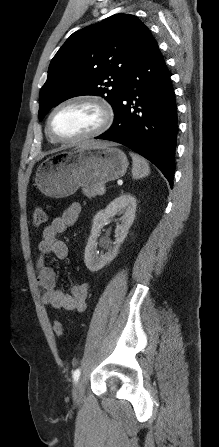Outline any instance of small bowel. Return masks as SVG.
Wrapping results in <instances>:
<instances>
[{
    "mask_svg": "<svg viewBox=\"0 0 219 447\" xmlns=\"http://www.w3.org/2000/svg\"><path fill=\"white\" fill-rule=\"evenodd\" d=\"M81 211V205L71 203L59 216L42 231V239L38 245V257L36 260V282L40 288L42 300L54 309H63L82 313L87 308V298L90 289L88 282L72 284L70 293L56 287V273L54 269L45 263L49 254H54L58 259L68 256V246L59 240L57 235L67 231L75 224Z\"/></svg>",
    "mask_w": 219,
    "mask_h": 447,
    "instance_id": "obj_1",
    "label": "small bowel"
}]
</instances>
